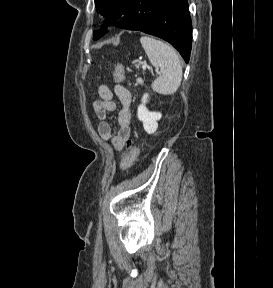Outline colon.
Segmentation results:
<instances>
[{
    "label": "colon",
    "mask_w": 273,
    "mask_h": 288,
    "mask_svg": "<svg viewBox=\"0 0 273 288\" xmlns=\"http://www.w3.org/2000/svg\"><path fill=\"white\" fill-rule=\"evenodd\" d=\"M113 78L116 82H122L124 80V69L118 64L116 65L113 73ZM139 153V149L136 144L132 141H128L126 145V150L122 154L119 160V169L121 171H127L136 160Z\"/></svg>",
    "instance_id": "1"
}]
</instances>
